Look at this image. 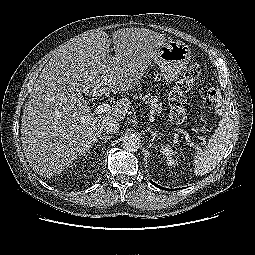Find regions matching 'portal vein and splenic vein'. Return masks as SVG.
Here are the masks:
<instances>
[{
  "label": "portal vein and splenic vein",
  "mask_w": 255,
  "mask_h": 255,
  "mask_svg": "<svg viewBox=\"0 0 255 255\" xmlns=\"http://www.w3.org/2000/svg\"><path fill=\"white\" fill-rule=\"evenodd\" d=\"M110 109H111L110 104L102 103L95 108L94 114L107 113V112H109ZM152 114H153V112H152ZM149 120H150V122H154V117L152 115H150ZM175 130L186 135V139L188 140V142H190L189 134L187 133V131H185L184 129H181V128H175ZM201 140L203 142H205L204 137H201ZM190 145H193V143L190 142ZM197 149H199V148H197Z\"/></svg>",
  "instance_id": "18ae733b"
}]
</instances>
